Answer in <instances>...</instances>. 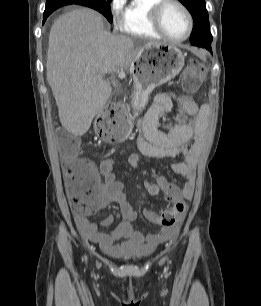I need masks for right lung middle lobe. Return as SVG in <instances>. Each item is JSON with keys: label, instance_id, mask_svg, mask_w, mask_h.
<instances>
[{"label": "right lung middle lobe", "instance_id": "right-lung-middle-lobe-1", "mask_svg": "<svg viewBox=\"0 0 261 306\" xmlns=\"http://www.w3.org/2000/svg\"><path fill=\"white\" fill-rule=\"evenodd\" d=\"M112 0H47L45 12H53L54 10L69 4H79L93 8L102 13L107 20L111 23L113 21L112 14L110 12V2Z\"/></svg>", "mask_w": 261, "mask_h": 306}]
</instances>
